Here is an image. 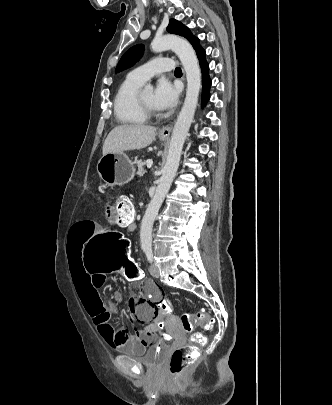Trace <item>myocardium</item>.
<instances>
[{
	"instance_id": "1",
	"label": "myocardium",
	"mask_w": 332,
	"mask_h": 405,
	"mask_svg": "<svg viewBox=\"0 0 332 405\" xmlns=\"http://www.w3.org/2000/svg\"><path fill=\"white\" fill-rule=\"evenodd\" d=\"M137 101L139 104V107L141 109V111L143 112V114L148 118H155L158 116V113L155 109L151 108L150 106H148L142 99L141 94H138L137 96Z\"/></svg>"
}]
</instances>
